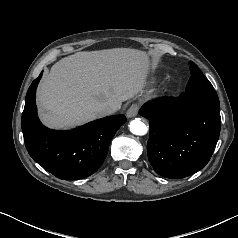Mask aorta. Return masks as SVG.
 I'll use <instances>...</instances> for the list:
<instances>
[{"label":"aorta","instance_id":"762f6f07","mask_svg":"<svg viewBox=\"0 0 238 238\" xmlns=\"http://www.w3.org/2000/svg\"><path fill=\"white\" fill-rule=\"evenodd\" d=\"M131 133L139 136H143L147 133L148 128L139 118L132 120L129 124Z\"/></svg>","mask_w":238,"mask_h":238}]
</instances>
